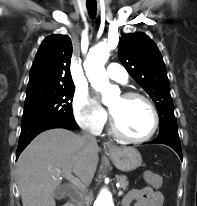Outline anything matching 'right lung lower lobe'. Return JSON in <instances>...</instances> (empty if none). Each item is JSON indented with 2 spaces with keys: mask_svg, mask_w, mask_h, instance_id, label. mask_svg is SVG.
Returning <instances> with one entry per match:
<instances>
[{
  "mask_svg": "<svg viewBox=\"0 0 197 206\" xmlns=\"http://www.w3.org/2000/svg\"><path fill=\"white\" fill-rule=\"evenodd\" d=\"M52 128H65L69 130L78 129V125L74 119H51L40 121L29 127L22 128L19 138V144L16 152V159L27 145L41 132Z\"/></svg>",
  "mask_w": 197,
  "mask_h": 206,
  "instance_id": "obj_1",
  "label": "right lung lower lobe"
}]
</instances>
